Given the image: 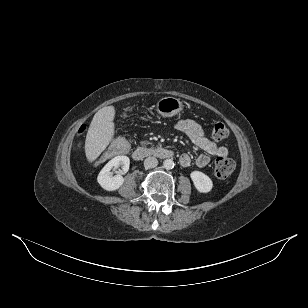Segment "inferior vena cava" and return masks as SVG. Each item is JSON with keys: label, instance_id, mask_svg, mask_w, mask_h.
Here are the masks:
<instances>
[{"label": "inferior vena cava", "instance_id": "1", "mask_svg": "<svg viewBox=\"0 0 308 308\" xmlns=\"http://www.w3.org/2000/svg\"><path fill=\"white\" fill-rule=\"evenodd\" d=\"M158 165V160L155 157H147L144 160V167L146 169L154 168Z\"/></svg>", "mask_w": 308, "mask_h": 308}]
</instances>
